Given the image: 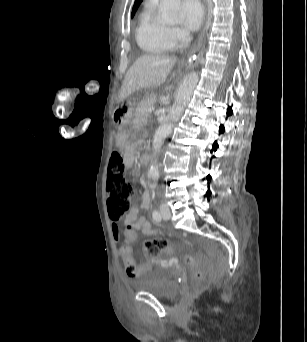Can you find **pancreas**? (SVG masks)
<instances>
[{
    "mask_svg": "<svg viewBox=\"0 0 307 342\" xmlns=\"http://www.w3.org/2000/svg\"><path fill=\"white\" fill-rule=\"evenodd\" d=\"M154 106H155L154 98H144V100H141V102H139L136 108V112H138L136 114V117L138 119H147L149 108H154Z\"/></svg>",
    "mask_w": 307,
    "mask_h": 342,
    "instance_id": "1",
    "label": "pancreas"
}]
</instances>
